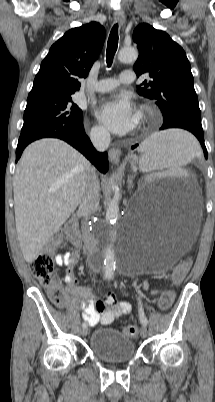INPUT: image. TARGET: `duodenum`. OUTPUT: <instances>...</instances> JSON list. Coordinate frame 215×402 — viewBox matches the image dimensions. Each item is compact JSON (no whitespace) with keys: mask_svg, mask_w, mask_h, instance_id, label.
Instances as JSON below:
<instances>
[{"mask_svg":"<svg viewBox=\"0 0 215 402\" xmlns=\"http://www.w3.org/2000/svg\"><path fill=\"white\" fill-rule=\"evenodd\" d=\"M64 231L71 243L78 247L84 246L85 242L79 231L76 217H71L67 220L64 226Z\"/></svg>","mask_w":215,"mask_h":402,"instance_id":"duodenum-1","label":"duodenum"}]
</instances>
